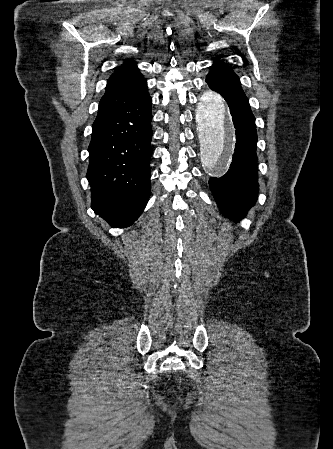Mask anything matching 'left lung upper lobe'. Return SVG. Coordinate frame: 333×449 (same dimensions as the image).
<instances>
[{
	"label": "left lung upper lobe",
	"instance_id": "obj_1",
	"mask_svg": "<svg viewBox=\"0 0 333 449\" xmlns=\"http://www.w3.org/2000/svg\"><path fill=\"white\" fill-rule=\"evenodd\" d=\"M211 69H212L211 71L238 78V76L233 72V70L218 58L214 61V64L211 66Z\"/></svg>",
	"mask_w": 333,
	"mask_h": 449
}]
</instances>
